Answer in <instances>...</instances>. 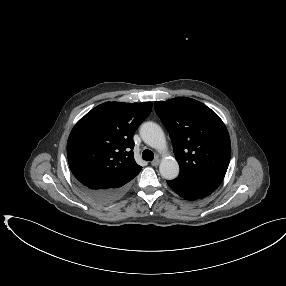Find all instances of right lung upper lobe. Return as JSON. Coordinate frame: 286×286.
<instances>
[{"instance_id":"1","label":"right lung upper lobe","mask_w":286,"mask_h":286,"mask_svg":"<svg viewBox=\"0 0 286 286\" xmlns=\"http://www.w3.org/2000/svg\"><path fill=\"white\" fill-rule=\"evenodd\" d=\"M152 102H106L72 129L67 142L70 170L77 181L92 188L120 187L139 174L133 135L151 113Z\"/></svg>"}]
</instances>
